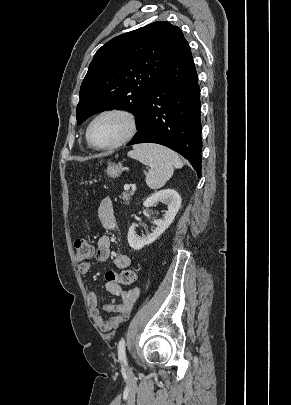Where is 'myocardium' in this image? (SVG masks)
<instances>
[{
	"instance_id": "obj_1",
	"label": "myocardium",
	"mask_w": 291,
	"mask_h": 405,
	"mask_svg": "<svg viewBox=\"0 0 291 405\" xmlns=\"http://www.w3.org/2000/svg\"><path fill=\"white\" fill-rule=\"evenodd\" d=\"M107 115H116V116L123 118L127 124L126 132L119 140H117L116 142H114L110 145L95 146L91 142V139H90L91 128L97 120H99L100 118L107 116ZM136 132H137V121H136L135 115L132 112H130L129 110L113 107V108H107V109H104V110L98 112L91 119V121L89 122V124L86 128L85 138H86L87 145L91 149L96 150V151H108V150L117 149V148L125 145L126 143H128L135 136Z\"/></svg>"
}]
</instances>
